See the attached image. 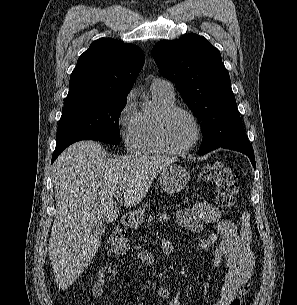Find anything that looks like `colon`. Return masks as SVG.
<instances>
[{"label": "colon", "mask_w": 297, "mask_h": 305, "mask_svg": "<svg viewBox=\"0 0 297 305\" xmlns=\"http://www.w3.org/2000/svg\"><path fill=\"white\" fill-rule=\"evenodd\" d=\"M202 181L215 186V207L218 211L230 209L235 202L237 193V174L228 165L216 161L205 166L201 173ZM128 247L127 234L122 229L114 230L107 240V250L113 255H122ZM253 290L252 284H247L241 290L239 297L233 299L231 305H244Z\"/></svg>", "instance_id": "colon-1"}]
</instances>
